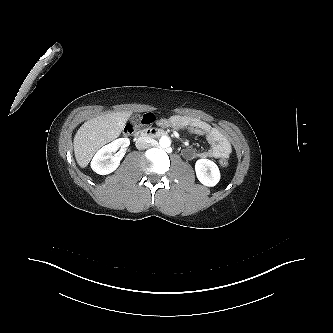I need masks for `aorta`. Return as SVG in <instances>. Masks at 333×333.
Wrapping results in <instances>:
<instances>
[{"mask_svg":"<svg viewBox=\"0 0 333 333\" xmlns=\"http://www.w3.org/2000/svg\"><path fill=\"white\" fill-rule=\"evenodd\" d=\"M159 145L162 147V148H167L171 145V140L169 137L167 136H163L160 138L159 140Z\"/></svg>","mask_w":333,"mask_h":333,"instance_id":"obj_1","label":"aorta"}]
</instances>
